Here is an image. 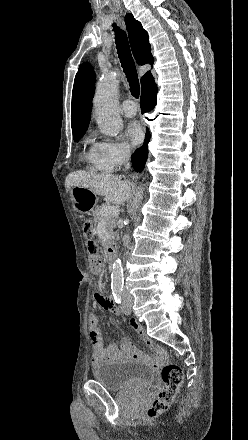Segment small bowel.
<instances>
[{
  "instance_id": "small-bowel-1",
  "label": "small bowel",
  "mask_w": 248,
  "mask_h": 440,
  "mask_svg": "<svg viewBox=\"0 0 248 440\" xmlns=\"http://www.w3.org/2000/svg\"><path fill=\"white\" fill-rule=\"evenodd\" d=\"M95 298L97 303L102 308L110 311V313L113 315H118L117 308L112 305L109 298H107L103 293H97ZM88 325L92 343L91 363L93 367H97L103 362L121 360L127 357H132L135 359L143 357L142 353L135 348L129 340H124L121 347H118L113 343L107 345L104 341L102 332L98 325V318L95 314L91 313L89 315ZM131 326L139 333L142 340L153 350L151 361L156 365L162 363L166 359V353L164 350L157 345H153L140 325L135 322H131Z\"/></svg>"
}]
</instances>
